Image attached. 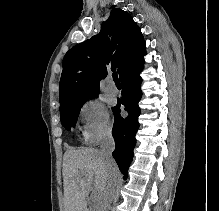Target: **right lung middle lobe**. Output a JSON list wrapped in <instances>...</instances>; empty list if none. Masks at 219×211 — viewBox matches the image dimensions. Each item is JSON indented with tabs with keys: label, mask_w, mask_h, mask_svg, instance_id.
I'll use <instances>...</instances> for the list:
<instances>
[{
	"label": "right lung middle lobe",
	"mask_w": 219,
	"mask_h": 211,
	"mask_svg": "<svg viewBox=\"0 0 219 211\" xmlns=\"http://www.w3.org/2000/svg\"><path fill=\"white\" fill-rule=\"evenodd\" d=\"M85 101L86 99L69 104L60 105L61 122L67 130L75 128L80 109L82 105L85 103Z\"/></svg>",
	"instance_id": "obj_1"
}]
</instances>
